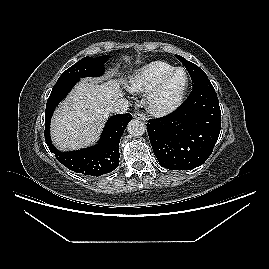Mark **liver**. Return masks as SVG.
<instances>
[{
	"instance_id": "6515ba94",
	"label": "liver",
	"mask_w": 269,
	"mask_h": 269,
	"mask_svg": "<svg viewBox=\"0 0 269 269\" xmlns=\"http://www.w3.org/2000/svg\"><path fill=\"white\" fill-rule=\"evenodd\" d=\"M123 95L119 80L108 79L100 85L81 80L53 116L51 137L54 144L61 150L89 145L98 137L108 118V107Z\"/></svg>"
}]
</instances>
